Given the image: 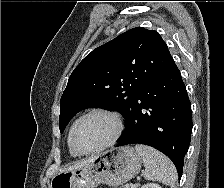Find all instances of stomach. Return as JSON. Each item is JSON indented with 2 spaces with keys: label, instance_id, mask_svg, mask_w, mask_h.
Masks as SVG:
<instances>
[{
  "label": "stomach",
  "instance_id": "1",
  "mask_svg": "<svg viewBox=\"0 0 224 188\" xmlns=\"http://www.w3.org/2000/svg\"><path fill=\"white\" fill-rule=\"evenodd\" d=\"M142 157L130 146L109 149L81 168L55 175L50 188H95L103 183L121 185L141 169Z\"/></svg>",
  "mask_w": 224,
  "mask_h": 188
}]
</instances>
